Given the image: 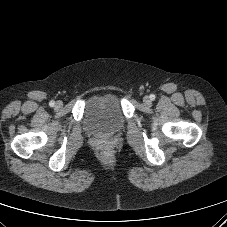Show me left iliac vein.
<instances>
[{
	"label": "left iliac vein",
	"instance_id": "left-iliac-vein-1",
	"mask_svg": "<svg viewBox=\"0 0 227 227\" xmlns=\"http://www.w3.org/2000/svg\"><path fill=\"white\" fill-rule=\"evenodd\" d=\"M143 102H144L145 105L150 106L151 105V99H150V97L145 96L143 98Z\"/></svg>",
	"mask_w": 227,
	"mask_h": 227
}]
</instances>
